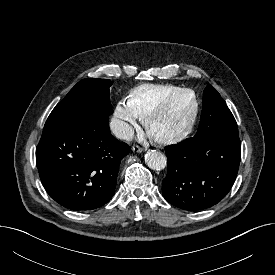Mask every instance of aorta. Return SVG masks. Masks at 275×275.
<instances>
[{"instance_id":"obj_1","label":"aorta","mask_w":275,"mask_h":275,"mask_svg":"<svg viewBox=\"0 0 275 275\" xmlns=\"http://www.w3.org/2000/svg\"><path fill=\"white\" fill-rule=\"evenodd\" d=\"M146 165L153 170H162L166 167V156L157 150H149L145 154Z\"/></svg>"}]
</instances>
